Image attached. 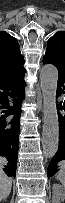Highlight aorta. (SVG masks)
I'll return each instance as SVG.
<instances>
[{
    "label": "aorta",
    "mask_w": 65,
    "mask_h": 203,
    "mask_svg": "<svg viewBox=\"0 0 65 203\" xmlns=\"http://www.w3.org/2000/svg\"><path fill=\"white\" fill-rule=\"evenodd\" d=\"M58 70L51 64L40 70V86L43 93L42 148L45 158L51 159L58 151L59 121L56 107Z\"/></svg>",
    "instance_id": "762f6f07"
}]
</instances>
